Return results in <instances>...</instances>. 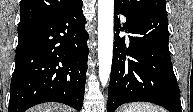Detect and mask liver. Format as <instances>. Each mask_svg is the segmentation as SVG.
Returning <instances> with one entry per match:
<instances>
[{"instance_id":"1","label":"liver","mask_w":193,"mask_h":112,"mask_svg":"<svg viewBox=\"0 0 193 112\" xmlns=\"http://www.w3.org/2000/svg\"><path fill=\"white\" fill-rule=\"evenodd\" d=\"M28 112H71V109L61 104H43L29 109Z\"/></svg>"}]
</instances>
